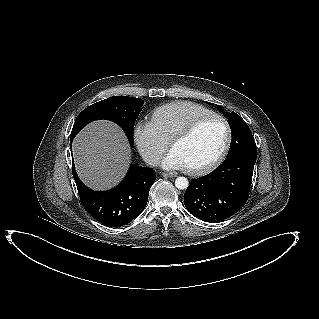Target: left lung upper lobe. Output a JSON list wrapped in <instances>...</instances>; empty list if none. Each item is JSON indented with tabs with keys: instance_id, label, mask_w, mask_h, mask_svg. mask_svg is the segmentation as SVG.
<instances>
[{
	"instance_id": "5c2ea615",
	"label": "left lung upper lobe",
	"mask_w": 319,
	"mask_h": 319,
	"mask_svg": "<svg viewBox=\"0 0 319 319\" xmlns=\"http://www.w3.org/2000/svg\"><path fill=\"white\" fill-rule=\"evenodd\" d=\"M206 103L209 104V102ZM224 115L228 118V123L232 132V141L226 159L241 154L257 156L254 137L246 122H244L235 112L224 113Z\"/></svg>"
}]
</instances>
